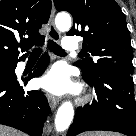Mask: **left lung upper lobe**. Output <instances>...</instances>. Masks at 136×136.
<instances>
[{
	"label": "left lung upper lobe",
	"instance_id": "obj_1",
	"mask_svg": "<svg viewBox=\"0 0 136 136\" xmlns=\"http://www.w3.org/2000/svg\"><path fill=\"white\" fill-rule=\"evenodd\" d=\"M58 11L73 15L68 35L83 36V48L97 61L86 58L75 63L90 77L105 74L133 75L132 46L125 15L115 0H54Z\"/></svg>",
	"mask_w": 136,
	"mask_h": 136
}]
</instances>
